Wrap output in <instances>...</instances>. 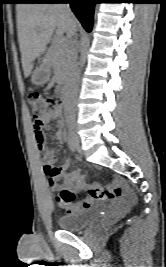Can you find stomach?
<instances>
[{"mask_svg":"<svg viewBox=\"0 0 166 267\" xmlns=\"http://www.w3.org/2000/svg\"><path fill=\"white\" fill-rule=\"evenodd\" d=\"M50 79V69L47 65L37 67L31 76V82L36 86L46 84Z\"/></svg>","mask_w":166,"mask_h":267,"instance_id":"obj_1","label":"stomach"}]
</instances>
